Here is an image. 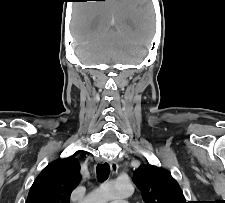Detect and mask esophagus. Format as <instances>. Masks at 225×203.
Listing matches in <instances>:
<instances>
[{
    "label": "esophagus",
    "instance_id": "34e87169",
    "mask_svg": "<svg viewBox=\"0 0 225 203\" xmlns=\"http://www.w3.org/2000/svg\"><path fill=\"white\" fill-rule=\"evenodd\" d=\"M110 167L113 173H116L118 171V164L116 161H110Z\"/></svg>",
    "mask_w": 225,
    "mask_h": 203
}]
</instances>
